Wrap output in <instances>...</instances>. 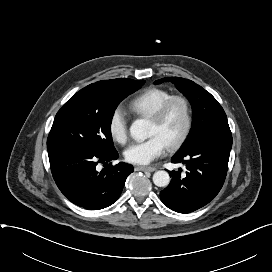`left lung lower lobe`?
<instances>
[{
	"label": "left lung lower lobe",
	"instance_id": "1",
	"mask_svg": "<svg viewBox=\"0 0 272 272\" xmlns=\"http://www.w3.org/2000/svg\"><path fill=\"white\" fill-rule=\"evenodd\" d=\"M232 137L214 138L177 152L172 163L186 165V175L168 171L172 180L160 192L162 202L179 213L193 212L212 201L226 178Z\"/></svg>",
	"mask_w": 272,
	"mask_h": 272
}]
</instances>
